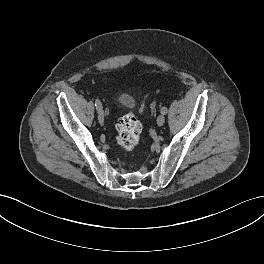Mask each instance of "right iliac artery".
Wrapping results in <instances>:
<instances>
[{
  "label": "right iliac artery",
  "mask_w": 264,
  "mask_h": 264,
  "mask_svg": "<svg viewBox=\"0 0 264 264\" xmlns=\"http://www.w3.org/2000/svg\"><path fill=\"white\" fill-rule=\"evenodd\" d=\"M95 106H96L98 112L102 110V104H101L100 100H98V99L95 100Z\"/></svg>",
  "instance_id": "1"
}]
</instances>
